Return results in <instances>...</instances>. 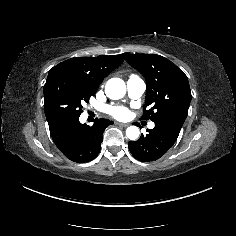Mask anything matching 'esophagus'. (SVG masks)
<instances>
[{
    "instance_id": "34e87169",
    "label": "esophagus",
    "mask_w": 236,
    "mask_h": 236,
    "mask_svg": "<svg viewBox=\"0 0 236 236\" xmlns=\"http://www.w3.org/2000/svg\"><path fill=\"white\" fill-rule=\"evenodd\" d=\"M116 125L122 126V127H127L129 126V123H120V122H115Z\"/></svg>"
}]
</instances>
